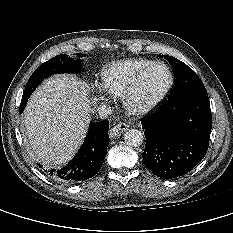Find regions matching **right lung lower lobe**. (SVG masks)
I'll return each mask as SVG.
<instances>
[{"mask_svg":"<svg viewBox=\"0 0 233 233\" xmlns=\"http://www.w3.org/2000/svg\"><path fill=\"white\" fill-rule=\"evenodd\" d=\"M29 96L23 94L20 113L23 112ZM108 129L107 120L91 122L84 144L73 160L59 170L47 169L46 173L51 178L64 183H75L96 175L106 156L109 142Z\"/></svg>","mask_w":233,"mask_h":233,"instance_id":"obj_1","label":"right lung lower lobe"}]
</instances>
